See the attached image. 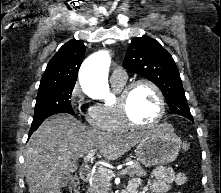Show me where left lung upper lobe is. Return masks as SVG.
<instances>
[{
    "label": "left lung upper lobe",
    "mask_w": 221,
    "mask_h": 193,
    "mask_svg": "<svg viewBox=\"0 0 221 193\" xmlns=\"http://www.w3.org/2000/svg\"><path fill=\"white\" fill-rule=\"evenodd\" d=\"M123 67L156 84L172 112L192 118L177 66L158 41L149 36L134 38L127 49Z\"/></svg>",
    "instance_id": "5c2ea615"
}]
</instances>
